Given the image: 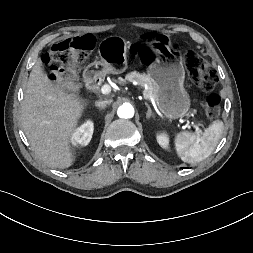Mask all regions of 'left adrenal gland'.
I'll return each instance as SVG.
<instances>
[{
    "label": "left adrenal gland",
    "mask_w": 253,
    "mask_h": 253,
    "mask_svg": "<svg viewBox=\"0 0 253 253\" xmlns=\"http://www.w3.org/2000/svg\"><path fill=\"white\" fill-rule=\"evenodd\" d=\"M145 105L148 108V111H147V114H146V118L150 119L153 116L152 110H151V108H150V106H149V104L147 102H145Z\"/></svg>",
    "instance_id": "left-adrenal-gland-1"
}]
</instances>
